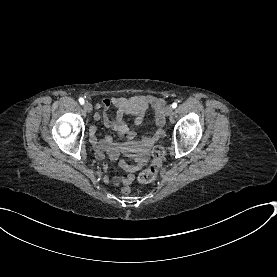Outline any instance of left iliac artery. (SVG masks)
Masks as SVG:
<instances>
[{"label": "left iliac artery", "instance_id": "left-iliac-artery-1", "mask_svg": "<svg viewBox=\"0 0 277 277\" xmlns=\"http://www.w3.org/2000/svg\"><path fill=\"white\" fill-rule=\"evenodd\" d=\"M172 107H173V108H176V107H177V103L174 102V103L172 104Z\"/></svg>", "mask_w": 277, "mask_h": 277}]
</instances>
